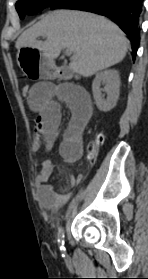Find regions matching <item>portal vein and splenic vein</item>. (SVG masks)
<instances>
[{
  "label": "portal vein and splenic vein",
  "instance_id": "obj_1",
  "mask_svg": "<svg viewBox=\"0 0 148 279\" xmlns=\"http://www.w3.org/2000/svg\"><path fill=\"white\" fill-rule=\"evenodd\" d=\"M72 49H66V51H65V54L67 55V56H69V55H71L72 54Z\"/></svg>",
  "mask_w": 148,
  "mask_h": 279
}]
</instances>
